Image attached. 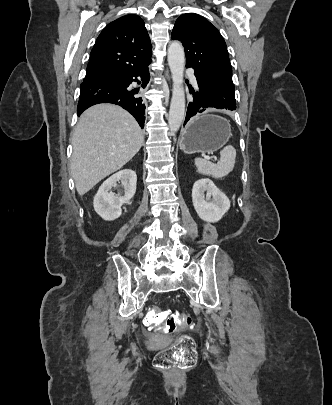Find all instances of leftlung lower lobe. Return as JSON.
I'll list each match as a JSON object with an SVG mask.
<instances>
[{"label": "left lung lower lobe", "instance_id": "left-lung-lower-lobe-1", "mask_svg": "<svg viewBox=\"0 0 332 405\" xmlns=\"http://www.w3.org/2000/svg\"><path fill=\"white\" fill-rule=\"evenodd\" d=\"M190 93L193 95V100L188 104L184 125L191 117L195 116L198 113H202L207 108H218L217 106H214L210 103L208 95H206V93L201 88L198 87L197 91H194L192 89L190 90Z\"/></svg>", "mask_w": 332, "mask_h": 405}]
</instances>
